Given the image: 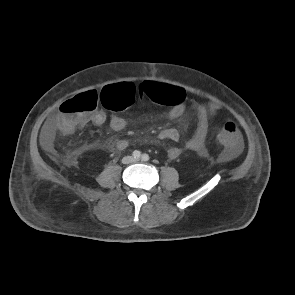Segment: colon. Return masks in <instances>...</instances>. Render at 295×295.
<instances>
[{
    "label": "colon",
    "mask_w": 295,
    "mask_h": 295,
    "mask_svg": "<svg viewBox=\"0 0 295 295\" xmlns=\"http://www.w3.org/2000/svg\"><path fill=\"white\" fill-rule=\"evenodd\" d=\"M178 93L173 86L153 82H145L138 87L128 82L111 84L102 90L100 96L89 91L63 102L59 107L57 128L64 135L71 134L96 109L99 100L110 111H122L130 107L137 97L172 105ZM217 141L226 148L235 147L239 141L236 125L225 122L217 133Z\"/></svg>",
    "instance_id": "1"
}]
</instances>
